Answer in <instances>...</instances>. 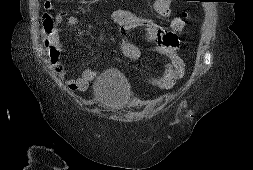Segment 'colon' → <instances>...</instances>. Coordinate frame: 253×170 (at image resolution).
I'll return each instance as SVG.
<instances>
[{
    "label": "colon",
    "mask_w": 253,
    "mask_h": 170,
    "mask_svg": "<svg viewBox=\"0 0 253 170\" xmlns=\"http://www.w3.org/2000/svg\"><path fill=\"white\" fill-rule=\"evenodd\" d=\"M181 18L183 20H185L186 13H183ZM42 20H43L42 23H43L44 31L46 33H51L54 28V20H53L52 16L48 13H45V14H43ZM175 26L181 27L182 24L180 22H178V23H176ZM47 44H48V52H49L50 59L53 62H57L60 55H61V49H60L58 43L47 40Z\"/></svg>",
    "instance_id": "obj_1"
}]
</instances>
